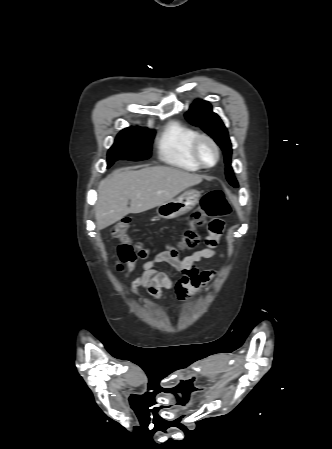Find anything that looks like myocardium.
Returning <instances> with one entry per match:
<instances>
[{
	"instance_id": "f54148a6",
	"label": "myocardium",
	"mask_w": 332,
	"mask_h": 449,
	"mask_svg": "<svg viewBox=\"0 0 332 449\" xmlns=\"http://www.w3.org/2000/svg\"><path fill=\"white\" fill-rule=\"evenodd\" d=\"M203 142L208 143L214 150L215 159L211 164L205 163L200 156L199 148H200L201 143H203ZM191 153H192L194 160L202 168L214 167L218 163L219 158H220V150H219L218 144L215 142V140L211 136H209L205 133H197L196 134V136L194 137V139L191 143Z\"/></svg>"
}]
</instances>
